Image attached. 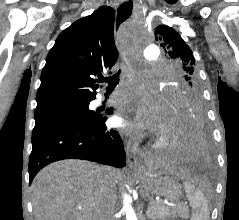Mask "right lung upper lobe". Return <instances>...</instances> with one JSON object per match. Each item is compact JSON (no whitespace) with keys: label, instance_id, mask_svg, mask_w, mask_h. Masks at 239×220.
<instances>
[{"label":"right lung upper lobe","instance_id":"right-lung-upper-lobe-1","mask_svg":"<svg viewBox=\"0 0 239 220\" xmlns=\"http://www.w3.org/2000/svg\"><path fill=\"white\" fill-rule=\"evenodd\" d=\"M114 9L101 6L60 33L46 58L37 107L95 99L93 76L111 69L118 58Z\"/></svg>","mask_w":239,"mask_h":220}]
</instances>
